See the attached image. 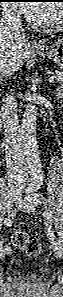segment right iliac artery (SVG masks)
I'll list each match as a JSON object with an SVG mask.
<instances>
[{"instance_id":"obj_1","label":"right iliac artery","mask_w":63,"mask_h":297,"mask_svg":"<svg viewBox=\"0 0 63 297\" xmlns=\"http://www.w3.org/2000/svg\"><path fill=\"white\" fill-rule=\"evenodd\" d=\"M7 208H8V216L5 218V220H4V225L5 226H11V224H12V220H11V216H13V214H12V211L10 210V201H9V198H8V201H7ZM6 251H8L9 253H10V251H11V248L10 247H6V248H4Z\"/></svg>"}]
</instances>
